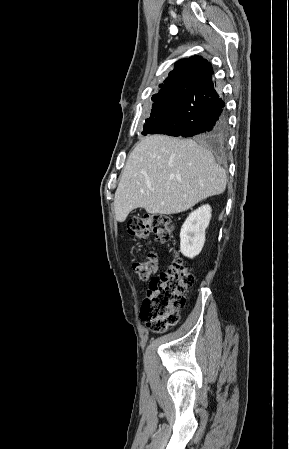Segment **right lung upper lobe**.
<instances>
[{
	"instance_id": "obj_1",
	"label": "right lung upper lobe",
	"mask_w": 289,
	"mask_h": 449,
	"mask_svg": "<svg viewBox=\"0 0 289 449\" xmlns=\"http://www.w3.org/2000/svg\"><path fill=\"white\" fill-rule=\"evenodd\" d=\"M212 74L211 64L200 56L195 55L190 58L180 59L175 63L174 69L164 80V84L160 85L162 89L158 94L169 93L171 85L179 80H207L212 77Z\"/></svg>"
}]
</instances>
